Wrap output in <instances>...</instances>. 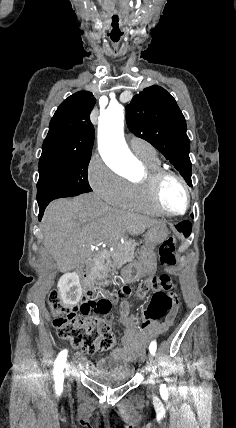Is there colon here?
<instances>
[{
    "label": "colon",
    "mask_w": 236,
    "mask_h": 428,
    "mask_svg": "<svg viewBox=\"0 0 236 428\" xmlns=\"http://www.w3.org/2000/svg\"><path fill=\"white\" fill-rule=\"evenodd\" d=\"M176 239L167 238L159 248L162 264L174 266ZM174 283L165 274L154 276L140 283L137 293L140 297L153 291L151 302L143 313L142 325H148L163 317L172 320L178 310V299L173 295ZM131 294V289L124 286L118 292L119 298ZM48 304L53 318V326L58 336L68 341L73 347L84 353L93 354L98 351H108L114 347L115 338L110 330V319H92L93 316H106L111 310V301L102 295L98 289L85 288L80 305H65L57 291L48 296Z\"/></svg>",
    "instance_id": "1"
}]
</instances>
